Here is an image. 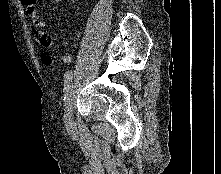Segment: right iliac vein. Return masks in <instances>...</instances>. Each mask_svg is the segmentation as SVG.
Segmentation results:
<instances>
[{
  "mask_svg": "<svg viewBox=\"0 0 221 174\" xmlns=\"http://www.w3.org/2000/svg\"><path fill=\"white\" fill-rule=\"evenodd\" d=\"M74 89L75 85L72 82L71 85H69V89L64 103V122L68 128H73L74 126L73 116H72Z\"/></svg>",
  "mask_w": 221,
  "mask_h": 174,
  "instance_id": "63e3f726",
  "label": "right iliac vein"
}]
</instances>
